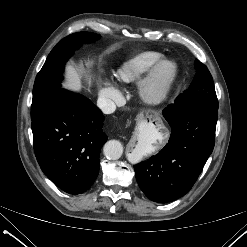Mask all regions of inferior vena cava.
<instances>
[{
    "instance_id": "1",
    "label": "inferior vena cava",
    "mask_w": 247,
    "mask_h": 247,
    "mask_svg": "<svg viewBox=\"0 0 247 247\" xmlns=\"http://www.w3.org/2000/svg\"><path fill=\"white\" fill-rule=\"evenodd\" d=\"M97 106L104 114H111L116 110L115 103L111 99L105 97L98 98Z\"/></svg>"
}]
</instances>
